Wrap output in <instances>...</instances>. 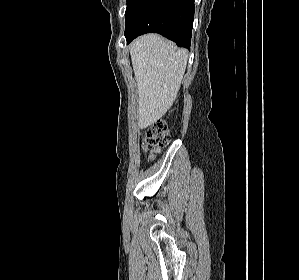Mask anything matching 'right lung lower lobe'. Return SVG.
Returning <instances> with one entry per match:
<instances>
[{"label": "right lung lower lobe", "instance_id": "1", "mask_svg": "<svg viewBox=\"0 0 299 280\" xmlns=\"http://www.w3.org/2000/svg\"><path fill=\"white\" fill-rule=\"evenodd\" d=\"M125 19L127 44L139 35L156 32L189 48L194 0H127Z\"/></svg>", "mask_w": 299, "mask_h": 280}]
</instances>
